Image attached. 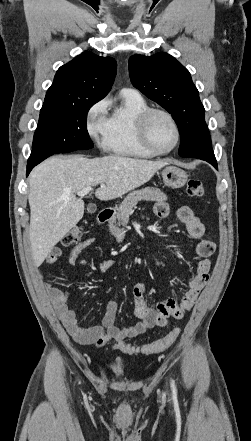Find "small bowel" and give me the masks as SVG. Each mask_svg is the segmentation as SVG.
Returning <instances> with one entry per match:
<instances>
[{
    "label": "small bowel",
    "instance_id": "obj_1",
    "mask_svg": "<svg viewBox=\"0 0 251 441\" xmlns=\"http://www.w3.org/2000/svg\"><path fill=\"white\" fill-rule=\"evenodd\" d=\"M154 213L159 218H165L169 214L168 205L159 201L154 206ZM177 218L186 226L187 232L199 242L195 247V254L199 261L195 265V274L187 282V289L180 302L170 298L159 302L156 306H147L145 287L142 283H136L132 287L133 300L136 306L137 316L140 321L136 324L121 328L115 324L118 303L111 299L107 303L106 313L102 325L82 327L78 324L76 314L68 306V294L57 287L53 281L45 282L46 292L69 335L79 344L103 346L109 341L121 342L125 338H134L143 334L146 330L154 327H165L168 319L174 317L181 319L195 304L201 290L209 279L211 262L209 257L214 253L216 245L213 239L206 236L205 226L188 206H182L176 211ZM94 243L93 238H88L74 246L69 254L68 262L75 265L81 253ZM61 254L59 248L51 250L45 260L46 264H53ZM115 266V261L105 259L98 265V271L104 273ZM41 278L45 273H41Z\"/></svg>",
    "mask_w": 251,
    "mask_h": 441
}]
</instances>
